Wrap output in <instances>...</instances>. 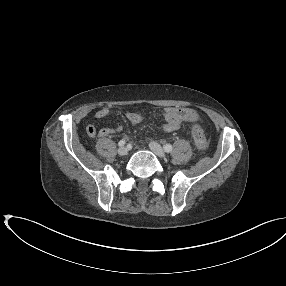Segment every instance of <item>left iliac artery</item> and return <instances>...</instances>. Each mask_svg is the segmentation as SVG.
I'll list each match as a JSON object with an SVG mask.
<instances>
[{
  "label": "left iliac artery",
  "mask_w": 286,
  "mask_h": 286,
  "mask_svg": "<svg viewBox=\"0 0 286 286\" xmlns=\"http://www.w3.org/2000/svg\"><path fill=\"white\" fill-rule=\"evenodd\" d=\"M172 149H173V147H172L171 144H166V145L164 146V150H165V152H167V153L171 152Z\"/></svg>",
  "instance_id": "left-iliac-artery-1"
}]
</instances>
